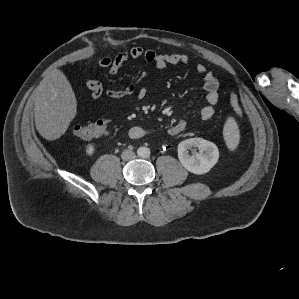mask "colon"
Segmentation results:
<instances>
[{"label": "colon", "mask_w": 299, "mask_h": 299, "mask_svg": "<svg viewBox=\"0 0 299 299\" xmlns=\"http://www.w3.org/2000/svg\"><path fill=\"white\" fill-rule=\"evenodd\" d=\"M230 104L234 114L240 119L242 116V108L237 94L231 93ZM107 129L108 121L106 119H100L88 124L76 125L72 128V133L81 139L87 140L105 135Z\"/></svg>", "instance_id": "5ec220e1"}]
</instances>
